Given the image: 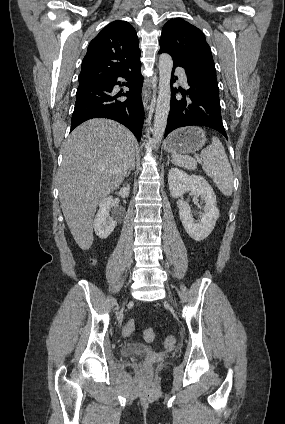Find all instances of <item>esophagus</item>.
<instances>
[{
	"instance_id": "esophagus-1",
	"label": "esophagus",
	"mask_w": 285,
	"mask_h": 424,
	"mask_svg": "<svg viewBox=\"0 0 285 424\" xmlns=\"http://www.w3.org/2000/svg\"><path fill=\"white\" fill-rule=\"evenodd\" d=\"M150 93L151 92L147 89H143V91H142L143 106H144L145 109L148 108V100H149Z\"/></svg>"
}]
</instances>
